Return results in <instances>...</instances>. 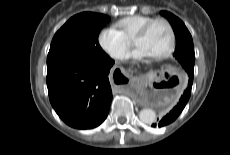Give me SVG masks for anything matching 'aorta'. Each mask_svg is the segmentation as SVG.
I'll return each mask as SVG.
<instances>
[{
    "instance_id": "obj_1",
    "label": "aorta",
    "mask_w": 230,
    "mask_h": 155,
    "mask_svg": "<svg viewBox=\"0 0 230 155\" xmlns=\"http://www.w3.org/2000/svg\"><path fill=\"white\" fill-rule=\"evenodd\" d=\"M139 119L144 124H152L156 121V112L153 109L145 108L140 111Z\"/></svg>"
}]
</instances>
